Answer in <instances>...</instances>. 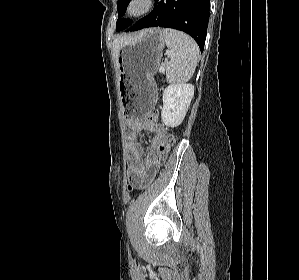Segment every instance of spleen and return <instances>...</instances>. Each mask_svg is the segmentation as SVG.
<instances>
[{
  "label": "spleen",
  "mask_w": 299,
  "mask_h": 280,
  "mask_svg": "<svg viewBox=\"0 0 299 280\" xmlns=\"http://www.w3.org/2000/svg\"><path fill=\"white\" fill-rule=\"evenodd\" d=\"M163 37L172 58L166 65L167 81L169 83H185L195 72L199 59V47L185 33L174 29H163Z\"/></svg>",
  "instance_id": "3e777b00"
}]
</instances>
